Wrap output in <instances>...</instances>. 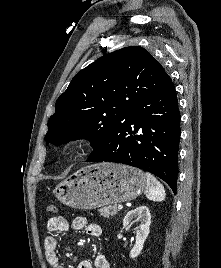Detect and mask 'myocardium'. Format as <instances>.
<instances>
[{
  "label": "myocardium",
  "mask_w": 221,
  "mask_h": 268,
  "mask_svg": "<svg viewBox=\"0 0 221 268\" xmlns=\"http://www.w3.org/2000/svg\"><path fill=\"white\" fill-rule=\"evenodd\" d=\"M90 146V141L84 137H77L70 140L64 147V155L74 159L84 153Z\"/></svg>",
  "instance_id": "f54148a6"
}]
</instances>
